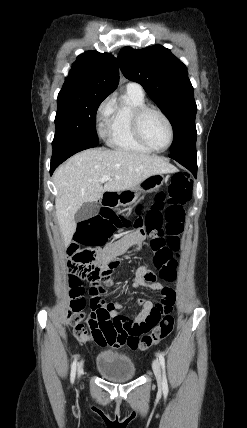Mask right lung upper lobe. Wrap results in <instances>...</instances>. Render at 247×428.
<instances>
[{
    "mask_svg": "<svg viewBox=\"0 0 247 428\" xmlns=\"http://www.w3.org/2000/svg\"><path fill=\"white\" fill-rule=\"evenodd\" d=\"M118 83L116 58L109 53L89 51L78 56L58 95L87 92L108 96Z\"/></svg>",
    "mask_w": 247,
    "mask_h": 428,
    "instance_id": "right-lung-upper-lobe-1",
    "label": "right lung upper lobe"
}]
</instances>
